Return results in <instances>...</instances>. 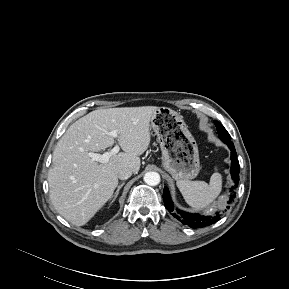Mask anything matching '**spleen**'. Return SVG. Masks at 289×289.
<instances>
[{
	"label": "spleen",
	"mask_w": 289,
	"mask_h": 289,
	"mask_svg": "<svg viewBox=\"0 0 289 289\" xmlns=\"http://www.w3.org/2000/svg\"><path fill=\"white\" fill-rule=\"evenodd\" d=\"M177 187L183 198L194 209H202L212 203L222 189V176L215 172L210 177L209 184L205 181L178 180Z\"/></svg>",
	"instance_id": "spleen-1"
}]
</instances>
